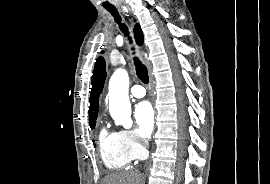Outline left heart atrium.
Returning a JSON list of instances; mask_svg holds the SVG:
<instances>
[{
  "mask_svg": "<svg viewBox=\"0 0 270 184\" xmlns=\"http://www.w3.org/2000/svg\"><path fill=\"white\" fill-rule=\"evenodd\" d=\"M135 119L139 134L148 138L154 128V110L151 104L148 102L139 103L135 109Z\"/></svg>",
  "mask_w": 270,
  "mask_h": 184,
  "instance_id": "left-heart-atrium-1",
  "label": "left heart atrium"
}]
</instances>
